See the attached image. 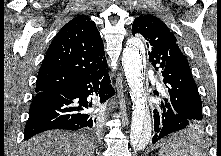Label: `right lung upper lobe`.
I'll list each match as a JSON object with an SVG mask.
<instances>
[{
  "instance_id": "1",
  "label": "right lung upper lobe",
  "mask_w": 221,
  "mask_h": 156,
  "mask_svg": "<svg viewBox=\"0 0 221 156\" xmlns=\"http://www.w3.org/2000/svg\"><path fill=\"white\" fill-rule=\"evenodd\" d=\"M105 65L104 45L95 23L78 15L51 42L38 72L36 93L58 91Z\"/></svg>"
}]
</instances>
